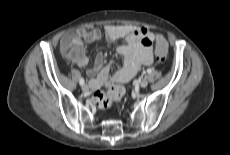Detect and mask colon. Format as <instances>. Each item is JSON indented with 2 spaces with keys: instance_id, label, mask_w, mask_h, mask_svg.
Segmentation results:
<instances>
[{
  "instance_id": "colon-1",
  "label": "colon",
  "mask_w": 230,
  "mask_h": 155,
  "mask_svg": "<svg viewBox=\"0 0 230 155\" xmlns=\"http://www.w3.org/2000/svg\"><path fill=\"white\" fill-rule=\"evenodd\" d=\"M64 54L69 57L76 55L79 52L78 38L74 34L69 33L64 40ZM168 44L162 35H159L156 40V60L163 62L167 57ZM124 95L122 87H114L109 91H96L93 95V102L99 109L110 108L115 103L119 102Z\"/></svg>"
}]
</instances>
